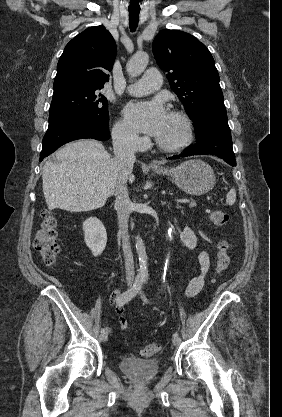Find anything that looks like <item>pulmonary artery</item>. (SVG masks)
Returning a JSON list of instances; mask_svg holds the SVG:
<instances>
[{"label":"pulmonary artery","instance_id":"pulmonary-artery-1","mask_svg":"<svg viewBox=\"0 0 282 417\" xmlns=\"http://www.w3.org/2000/svg\"><path fill=\"white\" fill-rule=\"evenodd\" d=\"M160 70H145L141 79L127 86L126 91L130 95L141 96L149 94L160 88L162 79Z\"/></svg>","mask_w":282,"mask_h":417}]
</instances>
